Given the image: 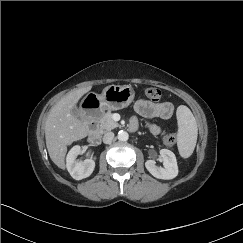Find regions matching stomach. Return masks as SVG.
<instances>
[{
  "label": "stomach",
  "mask_w": 243,
  "mask_h": 243,
  "mask_svg": "<svg viewBox=\"0 0 243 243\" xmlns=\"http://www.w3.org/2000/svg\"><path fill=\"white\" fill-rule=\"evenodd\" d=\"M135 97V91L129 85H109L105 87L102 93H88L84 98V103L89 100L94 107L100 110H119L130 105Z\"/></svg>",
  "instance_id": "1"
}]
</instances>
